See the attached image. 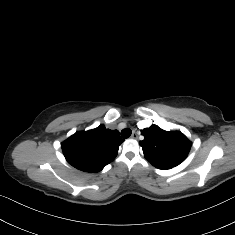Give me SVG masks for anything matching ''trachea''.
I'll return each instance as SVG.
<instances>
[{
	"label": "trachea",
	"mask_w": 235,
	"mask_h": 235,
	"mask_svg": "<svg viewBox=\"0 0 235 235\" xmlns=\"http://www.w3.org/2000/svg\"><path fill=\"white\" fill-rule=\"evenodd\" d=\"M131 134H132V133H131V130L128 129V128L123 129V130L121 131V136H122V138H124V139H127Z\"/></svg>",
	"instance_id": "obj_1"
}]
</instances>
